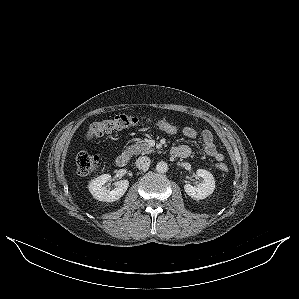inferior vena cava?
<instances>
[{
	"label": "inferior vena cava",
	"instance_id": "1",
	"mask_svg": "<svg viewBox=\"0 0 299 299\" xmlns=\"http://www.w3.org/2000/svg\"><path fill=\"white\" fill-rule=\"evenodd\" d=\"M150 163H151V160L149 157L147 156H142V157H139L135 164H136V167L140 170H146L149 168L150 166Z\"/></svg>",
	"mask_w": 299,
	"mask_h": 299
}]
</instances>
